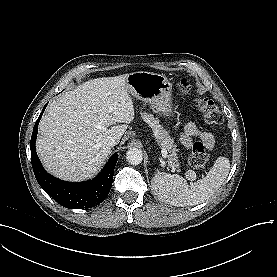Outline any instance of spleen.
<instances>
[{
  "mask_svg": "<svg viewBox=\"0 0 277 277\" xmlns=\"http://www.w3.org/2000/svg\"><path fill=\"white\" fill-rule=\"evenodd\" d=\"M230 171V161L224 156L216 159L202 179L192 184L177 175L157 171L151 181L152 190L163 202L175 206H194L209 199L224 183Z\"/></svg>",
  "mask_w": 277,
  "mask_h": 277,
  "instance_id": "1",
  "label": "spleen"
}]
</instances>
